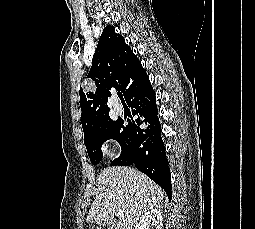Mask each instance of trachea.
<instances>
[{
  "label": "trachea",
  "mask_w": 255,
  "mask_h": 229,
  "mask_svg": "<svg viewBox=\"0 0 255 229\" xmlns=\"http://www.w3.org/2000/svg\"><path fill=\"white\" fill-rule=\"evenodd\" d=\"M118 97L120 98V100L123 102L124 101V98H123V95L121 92H118L117 93Z\"/></svg>",
  "instance_id": "3493384b"
}]
</instances>
